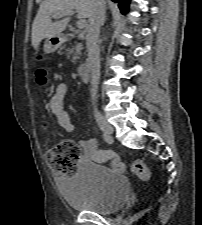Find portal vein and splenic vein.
Returning <instances> with one entry per match:
<instances>
[{
  "label": "portal vein and splenic vein",
  "instance_id": "18ae733b",
  "mask_svg": "<svg viewBox=\"0 0 202 225\" xmlns=\"http://www.w3.org/2000/svg\"><path fill=\"white\" fill-rule=\"evenodd\" d=\"M74 14V11H68L66 13H62V14H54L52 15L53 18L57 19V18H61V17H64V16H70V15H73ZM87 26V21L85 19H80L78 22H77V27L79 29H83Z\"/></svg>",
  "mask_w": 202,
  "mask_h": 225
}]
</instances>
